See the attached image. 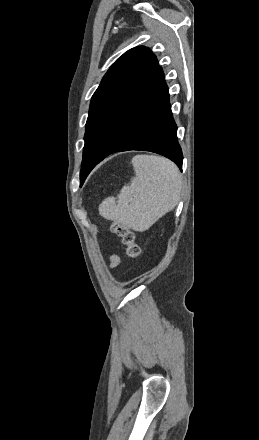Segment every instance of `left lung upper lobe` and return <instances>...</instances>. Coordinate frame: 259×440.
<instances>
[{"instance_id": "obj_1", "label": "left lung upper lobe", "mask_w": 259, "mask_h": 440, "mask_svg": "<svg viewBox=\"0 0 259 440\" xmlns=\"http://www.w3.org/2000/svg\"><path fill=\"white\" fill-rule=\"evenodd\" d=\"M158 61L149 48H132L104 75L92 96L80 172L83 184L117 126L150 83Z\"/></svg>"}]
</instances>
